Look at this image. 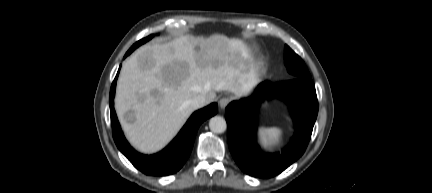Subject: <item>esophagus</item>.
I'll return each instance as SVG.
<instances>
[{"label":"esophagus","instance_id":"34e87169","mask_svg":"<svg viewBox=\"0 0 432 193\" xmlns=\"http://www.w3.org/2000/svg\"><path fill=\"white\" fill-rule=\"evenodd\" d=\"M230 103V98L229 97H222L219 100V106L221 109H225L226 106Z\"/></svg>","mask_w":432,"mask_h":193}]
</instances>
